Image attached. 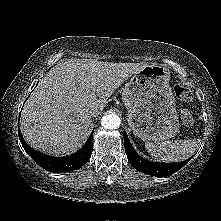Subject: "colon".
Listing matches in <instances>:
<instances>
[{
  "label": "colon",
  "mask_w": 221,
  "mask_h": 221,
  "mask_svg": "<svg viewBox=\"0 0 221 221\" xmlns=\"http://www.w3.org/2000/svg\"><path fill=\"white\" fill-rule=\"evenodd\" d=\"M174 93L177 99L183 103H188L193 99L192 90L187 85L180 82L174 86ZM181 119L182 122L187 126H190L194 123L193 115L188 110L182 111Z\"/></svg>",
  "instance_id": "obj_1"
}]
</instances>
